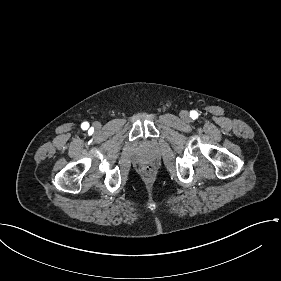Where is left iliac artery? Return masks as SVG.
<instances>
[{"label":"left iliac artery","instance_id":"44dca946","mask_svg":"<svg viewBox=\"0 0 281 281\" xmlns=\"http://www.w3.org/2000/svg\"><path fill=\"white\" fill-rule=\"evenodd\" d=\"M190 117H191L192 119H196V118L198 117V113H197L196 111H191Z\"/></svg>","mask_w":281,"mask_h":281}]
</instances>
